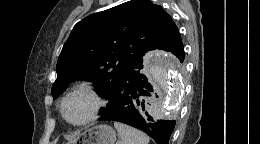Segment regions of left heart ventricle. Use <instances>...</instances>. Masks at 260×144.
<instances>
[{
	"instance_id": "obj_1",
	"label": "left heart ventricle",
	"mask_w": 260,
	"mask_h": 144,
	"mask_svg": "<svg viewBox=\"0 0 260 144\" xmlns=\"http://www.w3.org/2000/svg\"><path fill=\"white\" fill-rule=\"evenodd\" d=\"M93 101L88 94L79 92L71 96L65 103L66 117L72 122L84 120L91 112Z\"/></svg>"
}]
</instances>
